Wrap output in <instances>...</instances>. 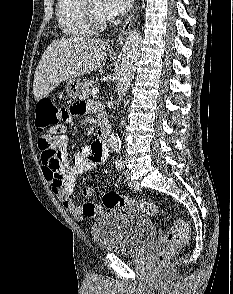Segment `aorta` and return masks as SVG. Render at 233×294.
<instances>
[{"label":"aorta","instance_id":"762f6f07","mask_svg":"<svg viewBox=\"0 0 233 294\" xmlns=\"http://www.w3.org/2000/svg\"><path fill=\"white\" fill-rule=\"evenodd\" d=\"M141 42L142 34L138 29H134L129 33L123 48L120 68L117 73L116 91L119 100H122L125 96L126 91L134 78L136 65L140 56ZM108 145L114 152H120L122 144L118 134H111L109 136ZM118 161L122 162V158Z\"/></svg>","mask_w":233,"mask_h":294}]
</instances>
